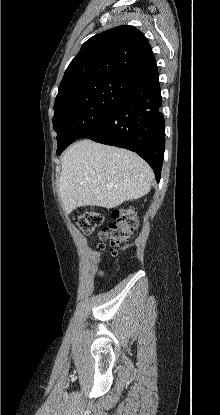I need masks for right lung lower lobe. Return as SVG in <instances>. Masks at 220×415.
I'll return each instance as SVG.
<instances>
[{"mask_svg":"<svg viewBox=\"0 0 220 415\" xmlns=\"http://www.w3.org/2000/svg\"><path fill=\"white\" fill-rule=\"evenodd\" d=\"M158 75L138 84L107 113L90 139L135 151L154 170L160 181L165 149V122ZM65 149V148H64ZM60 150V155L64 150Z\"/></svg>","mask_w":220,"mask_h":415,"instance_id":"1","label":"right lung lower lobe"}]
</instances>
